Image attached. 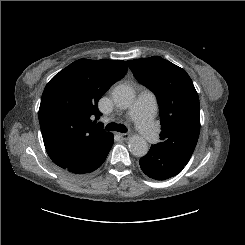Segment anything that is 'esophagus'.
<instances>
[{"label": "esophagus", "instance_id": "1", "mask_svg": "<svg viewBox=\"0 0 245 245\" xmlns=\"http://www.w3.org/2000/svg\"><path fill=\"white\" fill-rule=\"evenodd\" d=\"M118 135H119L122 139H124V140H126V139L129 138V134H128V133H118Z\"/></svg>", "mask_w": 245, "mask_h": 245}]
</instances>
